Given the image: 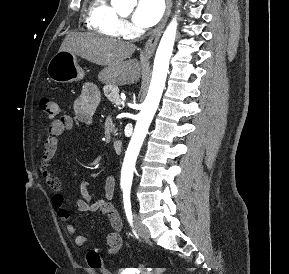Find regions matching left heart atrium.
Wrapping results in <instances>:
<instances>
[{"label": "left heart atrium", "mask_w": 289, "mask_h": 274, "mask_svg": "<svg viewBox=\"0 0 289 274\" xmlns=\"http://www.w3.org/2000/svg\"><path fill=\"white\" fill-rule=\"evenodd\" d=\"M163 11L164 0H138L132 19L140 27H151L160 20Z\"/></svg>", "instance_id": "1"}]
</instances>
